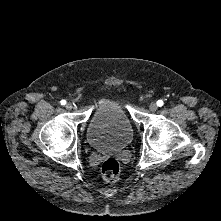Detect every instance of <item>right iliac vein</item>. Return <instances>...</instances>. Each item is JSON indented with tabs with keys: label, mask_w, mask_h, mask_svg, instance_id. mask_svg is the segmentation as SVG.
Instances as JSON below:
<instances>
[{
	"label": "right iliac vein",
	"mask_w": 221,
	"mask_h": 221,
	"mask_svg": "<svg viewBox=\"0 0 221 221\" xmlns=\"http://www.w3.org/2000/svg\"><path fill=\"white\" fill-rule=\"evenodd\" d=\"M65 107L67 110H71L73 108V105L71 103H67Z\"/></svg>",
	"instance_id": "obj_1"
}]
</instances>
